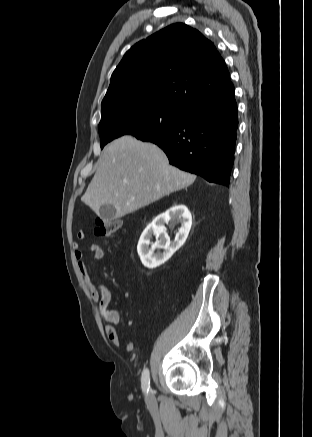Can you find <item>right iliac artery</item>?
Wrapping results in <instances>:
<instances>
[{
  "mask_svg": "<svg viewBox=\"0 0 312 437\" xmlns=\"http://www.w3.org/2000/svg\"><path fill=\"white\" fill-rule=\"evenodd\" d=\"M141 383L143 392L147 394L150 388V375L148 369H144L142 373Z\"/></svg>",
  "mask_w": 312,
  "mask_h": 437,
  "instance_id": "1",
  "label": "right iliac artery"
}]
</instances>
